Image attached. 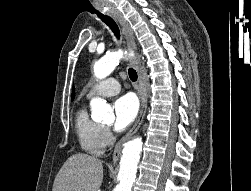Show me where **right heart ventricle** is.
<instances>
[{
	"mask_svg": "<svg viewBox=\"0 0 251 191\" xmlns=\"http://www.w3.org/2000/svg\"><path fill=\"white\" fill-rule=\"evenodd\" d=\"M75 131L80 148L91 155L102 154L105 145L103 142V126L88 116L84 107H80L75 116Z\"/></svg>",
	"mask_w": 251,
	"mask_h": 191,
	"instance_id": "1",
	"label": "right heart ventricle"
}]
</instances>
